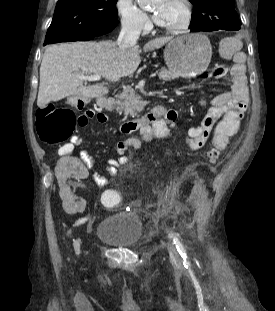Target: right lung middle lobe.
I'll return each mask as SVG.
<instances>
[{
    "label": "right lung middle lobe",
    "mask_w": 275,
    "mask_h": 311,
    "mask_svg": "<svg viewBox=\"0 0 275 311\" xmlns=\"http://www.w3.org/2000/svg\"><path fill=\"white\" fill-rule=\"evenodd\" d=\"M117 0H58L45 43L63 42L82 34L103 35L118 21Z\"/></svg>",
    "instance_id": "right-lung-middle-lobe-1"
}]
</instances>
